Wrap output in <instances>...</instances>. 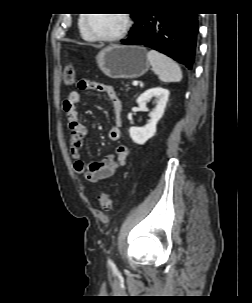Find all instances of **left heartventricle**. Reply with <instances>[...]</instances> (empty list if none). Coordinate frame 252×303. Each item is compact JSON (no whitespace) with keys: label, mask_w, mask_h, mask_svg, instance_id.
Instances as JSON below:
<instances>
[{"label":"left heart ventricle","mask_w":252,"mask_h":303,"mask_svg":"<svg viewBox=\"0 0 252 303\" xmlns=\"http://www.w3.org/2000/svg\"><path fill=\"white\" fill-rule=\"evenodd\" d=\"M87 28L92 34L109 35L118 32L124 25L122 14H91Z\"/></svg>","instance_id":"1"}]
</instances>
